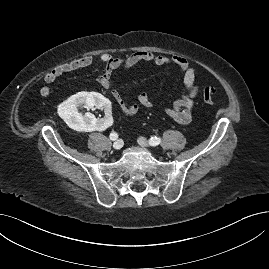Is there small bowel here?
<instances>
[{
    "label": "small bowel",
    "instance_id": "small-bowel-1",
    "mask_svg": "<svg viewBox=\"0 0 269 269\" xmlns=\"http://www.w3.org/2000/svg\"><path fill=\"white\" fill-rule=\"evenodd\" d=\"M98 60L102 65L99 74L100 85L109 90L118 104L121 111L128 116H134L139 112L140 107L153 108L154 103L147 92L138 95L137 102L127 103L119 91L113 86L112 76L117 70H129L144 63H153L158 66L174 67L183 75V87L185 93L181 95L171 107L165 109V113L179 124H189L192 120V112L196 98L200 91V85L196 82L197 71L183 56H166L147 51H138L127 57H114L108 53L98 55ZM93 63L91 56H83L79 59L62 63L48 71L40 87L42 97L48 98L51 95L50 84L55 82L64 74L75 72L90 66Z\"/></svg>",
    "mask_w": 269,
    "mask_h": 269
}]
</instances>
